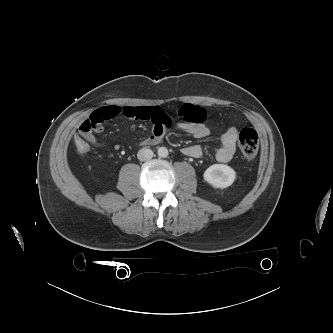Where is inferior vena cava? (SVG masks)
<instances>
[{"mask_svg":"<svg viewBox=\"0 0 333 333\" xmlns=\"http://www.w3.org/2000/svg\"><path fill=\"white\" fill-rule=\"evenodd\" d=\"M152 157H153V151L148 148L140 149L137 153V158L140 161H146V160L151 159Z\"/></svg>","mask_w":333,"mask_h":333,"instance_id":"1","label":"inferior vena cava"}]
</instances>
